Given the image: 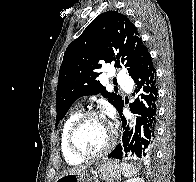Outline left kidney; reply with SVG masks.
<instances>
[{
  "label": "left kidney",
  "mask_w": 196,
  "mask_h": 182,
  "mask_svg": "<svg viewBox=\"0 0 196 182\" xmlns=\"http://www.w3.org/2000/svg\"><path fill=\"white\" fill-rule=\"evenodd\" d=\"M126 182H144L143 179L136 177V178H131L127 180Z\"/></svg>",
  "instance_id": "5707ae66"
}]
</instances>
